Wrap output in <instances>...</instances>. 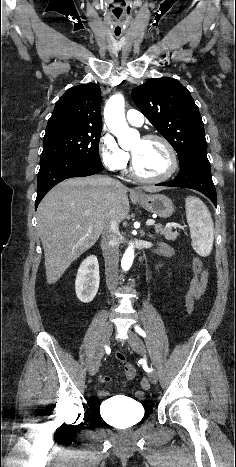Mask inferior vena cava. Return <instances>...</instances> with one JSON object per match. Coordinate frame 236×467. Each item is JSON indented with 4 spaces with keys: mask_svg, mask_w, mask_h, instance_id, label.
I'll list each match as a JSON object with an SVG mask.
<instances>
[{
    "mask_svg": "<svg viewBox=\"0 0 236 467\" xmlns=\"http://www.w3.org/2000/svg\"><path fill=\"white\" fill-rule=\"evenodd\" d=\"M120 184L119 181H115ZM119 223L112 220L107 224L102 233L101 246L105 260L106 283L110 290L115 289L118 281V264H119Z\"/></svg>",
    "mask_w": 236,
    "mask_h": 467,
    "instance_id": "602c4592",
    "label": "inferior vena cava"
}]
</instances>
